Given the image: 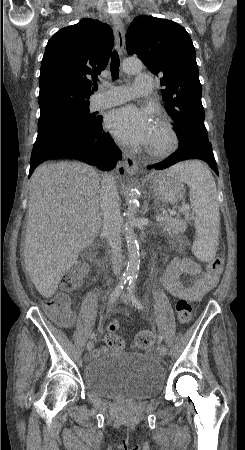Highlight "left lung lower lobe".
I'll use <instances>...</instances> for the list:
<instances>
[{
  "label": "left lung lower lobe",
  "instance_id": "left-lung-lower-lobe-1",
  "mask_svg": "<svg viewBox=\"0 0 245 450\" xmlns=\"http://www.w3.org/2000/svg\"><path fill=\"white\" fill-rule=\"evenodd\" d=\"M186 159H201L207 162L210 167L215 171L218 175V169L216 165L215 158L212 153V149L209 146H203L202 148H193L190 150L178 149L177 152L170 155L167 159L162 162L153 164L152 166H148V168H154L156 170H161L170 167L176 162L186 160Z\"/></svg>",
  "mask_w": 245,
  "mask_h": 450
}]
</instances>
